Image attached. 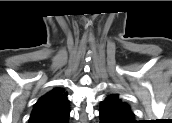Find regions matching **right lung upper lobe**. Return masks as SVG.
Segmentation results:
<instances>
[{
    "instance_id": "1",
    "label": "right lung upper lobe",
    "mask_w": 172,
    "mask_h": 123,
    "mask_svg": "<svg viewBox=\"0 0 172 123\" xmlns=\"http://www.w3.org/2000/svg\"><path fill=\"white\" fill-rule=\"evenodd\" d=\"M69 113L67 92L54 88L36 102L29 123H68Z\"/></svg>"
}]
</instances>
